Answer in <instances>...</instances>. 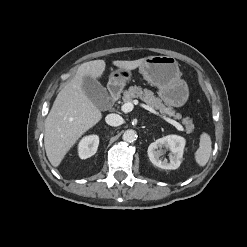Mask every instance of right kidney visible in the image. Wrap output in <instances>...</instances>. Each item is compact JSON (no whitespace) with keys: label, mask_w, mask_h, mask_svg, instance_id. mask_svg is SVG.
Wrapping results in <instances>:
<instances>
[{"label":"right kidney","mask_w":247,"mask_h":247,"mask_svg":"<svg viewBox=\"0 0 247 247\" xmlns=\"http://www.w3.org/2000/svg\"><path fill=\"white\" fill-rule=\"evenodd\" d=\"M99 145V137L97 135H89L84 137L78 146V154L81 159H87L93 156Z\"/></svg>","instance_id":"right-kidney-1"}]
</instances>
